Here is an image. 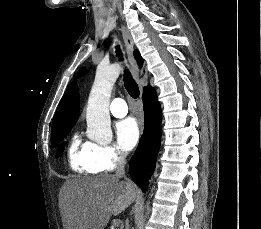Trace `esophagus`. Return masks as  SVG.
Returning <instances> with one entry per match:
<instances>
[{
	"label": "esophagus",
	"instance_id": "esophagus-1",
	"mask_svg": "<svg viewBox=\"0 0 261 229\" xmlns=\"http://www.w3.org/2000/svg\"><path fill=\"white\" fill-rule=\"evenodd\" d=\"M121 32L124 40V44L126 47V52L128 56V60L130 63L131 71L134 76V78L139 81V68L137 65V62L134 58L133 51H134V42L132 39V36L130 35V32L127 30L125 26H121ZM142 93V88H141Z\"/></svg>",
	"mask_w": 261,
	"mask_h": 229
}]
</instances>
